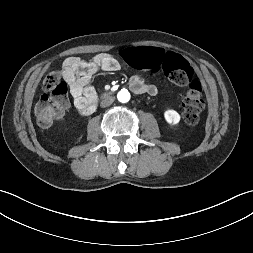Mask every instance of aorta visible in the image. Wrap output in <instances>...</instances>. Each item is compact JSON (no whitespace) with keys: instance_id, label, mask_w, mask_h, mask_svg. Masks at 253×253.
<instances>
[{"instance_id":"1","label":"aorta","mask_w":253,"mask_h":253,"mask_svg":"<svg viewBox=\"0 0 253 253\" xmlns=\"http://www.w3.org/2000/svg\"><path fill=\"white\" fill-rule=\"evenodd\" d=\"M117 98L120 102L126 103L130 100V93L126 89H122L118 92Z\"/></svg>"}]
</instances>
